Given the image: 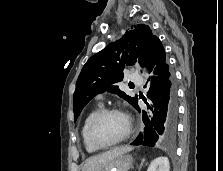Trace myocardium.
<instances>
[{"label": "myocardium", "instance_id": "1", "mask_svg": "<svg viewBox=\"0 0 223 171\" xmlns=\"http://www.w3.org/2000/svg\"><path fill=\"white\" fill-rule=\"evenodd\" d=\"M110 114H118V115L123 116L126 120L127 129H126L125 134L121 138H119L115 142L105 144V143H101L100 141H98L96 139L95 128H96V125L98 124V122L103 117L110 115ZM132 131H133V123H132L131 117L125 111H123L119 108L112 107V108L102 109L92 118V120L90 121L89 126H88L87 134H88L89 141L91 142V144L93 146H95L98 149H106V148H110L115 145H118V144L122 143L123 141H125L132 134Z\"/></svg>", "mask_w": 223, "mask_h": 171}]
</instances>
